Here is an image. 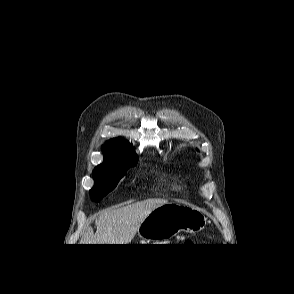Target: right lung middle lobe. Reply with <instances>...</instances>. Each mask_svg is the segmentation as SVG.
I'll list each match as a JSON object with an SVG mask.
<instances>
[{
  "label": "right lung middle lobe",
  "mask_w": 294,
  "mask_h": 294,
  "mask_svg": "<svg viewBox=\"0 0 294 294\" xmlns=\"http://www.w3.org/2000/svg\"><path fill=\"white\" fill-rule=\"evenodd\" d=\"M136 164L137 160H108L98 165L93 171L95 181L94 187L91 189L93 199L99 201L111 192L127 170Z\"/></svg>",
  "instance_id": "right-lung-middle-lobe-1"
}]
</instances>
